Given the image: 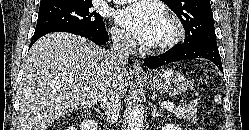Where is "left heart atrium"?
<instances>
[{"label": "left heart atrium", "instance_id": "left-heart-atrium-1", "mask_svg": "<svg viewBox=\"0 0 249 130\" xmlns=\"http://www.w3.org/2000/svg\"><path fill=\"white\" fill-rule=\"evenodd\" d=\"M116 18L127 31L146 46L157 43L165 22L162 8L150 0L130 4L120 10Z\"/></svg>", "mask_w": 249, "mask_h": 130}]
</instances>
